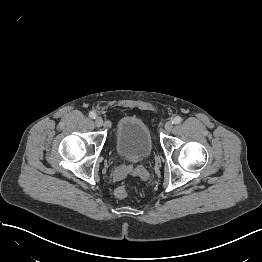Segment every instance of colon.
<instances>
[{
  "label": "colon",
  "instance_id": "5ec220e1",
  "mask_svg": "<svg viewBox=\"0 0 262 262\" xmlns=\"http://www.w3.org/2000/svg\"><path fill=\"white\" fill-rule=\"evenodd\" d=\"M130 186L128 184H122L115 189V196L118 199H125L129 194Z\"/></svg>",
  "mask_w": 262,
  "mask_h": 262
}]
</instances>
